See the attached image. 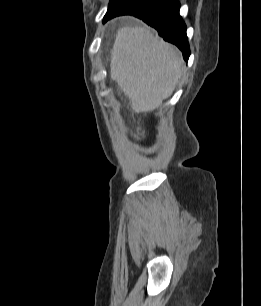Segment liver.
Returning a JSON list of instances; mask_svg holds the SVG:
<instances>
[{"instance_id": "6515ba94", "label": "liver", "mask_w": 261, "mask_h": 306, "mask_svg": "<svg viewBox=\"0 0 261 306\" xmlns=\"http://www.w3.org/2000/svg\"><path fill=\"white\" fill-rule=\"evenodd\" d=\"M111 79L129 98L133 112L153 111L169 98L183 70L177 49L147 27H122L111 51Z\"/></svg>"}]
</instances>
